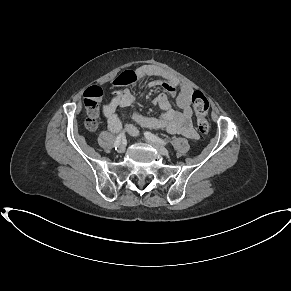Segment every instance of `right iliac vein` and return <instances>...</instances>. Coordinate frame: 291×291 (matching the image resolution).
I'll list each match as a JSON object with an SVG mask.
<instances>
[{
	"mask_svg": "<svg viewBox=\"0 0 291 291\" xmlns=\"http://www.w3.org/2000/svg\"><path fill=\"white\" fill-rule=\"evenodd\" d=\"M125 151V145L124 144H120L119 146H118V152L119 153H123Z\"/></svg>",
	"mask_w": 291,
	"mask_h": 291,
	"instance_id": "right-iliac-vein-1",
	"label": "right iliac vein"
}]
</instances>
